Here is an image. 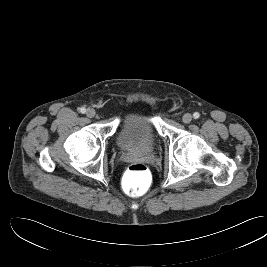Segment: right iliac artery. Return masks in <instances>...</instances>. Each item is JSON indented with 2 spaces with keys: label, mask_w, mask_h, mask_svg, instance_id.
I'll use <instances>...</instances> for the list:
<instances>
[{
  "label": "right iliac artery",
  "mask_w": 267,
  "mask_h": 267,
  "mask_svg": "<svg viewBox=\"0 0 267 267\" xmlns=\"http://www.w3.org/2000/svg\"><path fill=\"white\" fill-rule=\"evenodd\" d=\"M80 112L83 113V114L86 113V108L81 107V108H80Z\"/></svg>",
  "instance_id": "82829eb1"
}]
</instances>
